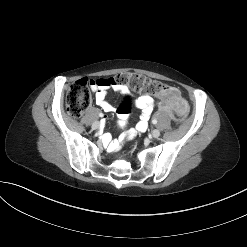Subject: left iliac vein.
Here are the masks:
<instances>
[{
  "label": "left iliac vein",
  "instance_id": "1",
  "mask_svg": "<svg viewBox=\"0 0 247 247\" xmlns=\"http://www.w3.org/2000/svg\"><path fill=\"white\" fill-rule=\"evenodd\" d=\"M152 137L158 138L160 136V131L158 129H154L151 132Z\"/></svg>",
  "mask_w": 247,
  "mask_h": 247
}]
</instances>
